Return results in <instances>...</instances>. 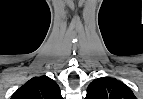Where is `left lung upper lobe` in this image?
Instances as JSON below:
<instances>
[{
	"mask_svg": "<svg viewBox=\"0 0 143 99\" xmlns=\"http://www.w3.org/2000/svg\"><path fill=\"white\" fill-rule=\"evenodd\" d=\"M85 99H137L132 90L121 81L112 77L93 80Z\"/></svg>",
	"mask_w": 143,
	"mask_h": 99,
	"instance_id": "5c2ea615",
	"label": "left lung upper lobe"
}]
</instances>
